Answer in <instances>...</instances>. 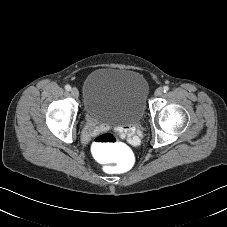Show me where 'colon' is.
Segmentation results:
<instances>
[{"label":"colon","instance_id":"1","mask_svg":"<svg viewBox=\"0 0 227 227\" xmlns=\"http://www.w3.org/2000/svg\"><path fill=\"white\" fill-rule=\"evenodd\" d=\"M92 147L103 165L111 167L117 174H125L129 171L130 151L114 133L99 134L93 140Z\"/></svg>","mask_w":227,"mask_h":227}]
</instances>
